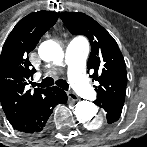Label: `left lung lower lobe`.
I'll return each mask as SVG.
<instances>
[{
  "instance_id": "0a47b994",
  "label": "left lung lower lobe",
  "mask_w": 147,
  "mask_h": 147,
  "mask_svg": "<svg viewBox=\"0 0 147 147\" xmlns=\"http://www.w3.org/2000/svg\"><path fill=\"white\" fill-rule=\"evenodd\" d=\"M124 100V98H115L96 104L106 112V126L114 124L120 118Z\"/></svg>"
}]
</instances>
